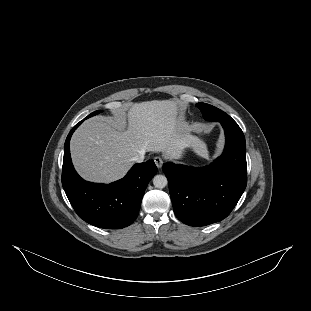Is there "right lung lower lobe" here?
<instances>
[{
  "mask_svg": "<svg viewBox=\"0 0 311 311\" xmlns=\"http://www.w3.org/2000/svg\"><path fill=\"white\" fill-rule=\"evenodd\" d=\"M84 120L72 128L65 141L63 188L78 216L87 223L106 229L124 228L137 218L145 189L157 167L153 160L135 164L124 178L111 184L83 180L71 161L70 139Z\"/></svg>",
  "mask_w": 311,
  "mask_h": 311,
  "instance_id": "98d812e1",
  "label": "right lung lower lobe"
}]
</instances>
